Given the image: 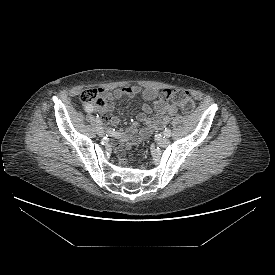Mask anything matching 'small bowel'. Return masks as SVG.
Masks as SVG:
<instances>
[{"instance_id":"obj_1","label":"small bowel","mask_w":275,"mask_h":275,"mask_svg":"<svg viewBox=\"0 0 275 275\" xmlns=\"http://www.w3.org/2000/svg\"><path fill=\"white\" fill-rule=\"evenodd\" d=\"M99 91L105 100V104L102 107L95 106V108L104 113L105 121L113 127L119 124V118L111 115L116 99L122 97L132 98L140 94L143 99L153 102V108L146 103H142V110L137 116L138 120L144 122L146 126L136 136L132 138L123 137L116 144V152L119 157H123L125 151L133 144L142 142L154 131L165 127L178 112V108L174 104L158 99L157 96L159 92L155 89H142L139 86H124L116 88L113 91L104 89H100Z\"/></svg>"}]
</instances>
